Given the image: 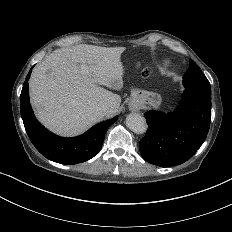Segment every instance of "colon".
I'll use <instances>...</instances> for the list:
<instances>
[{"instance_id": "5ec220e1", "label": "colon", "mask_w": 232, "mask_h": 232, "mask_svg": "<svg viewBox=\"0 0 232 232\" xmlns=\"http://www.w3.org/2000/svg\"><path fill=\"white\" fill-rule=\"evenodd\" d=\"M142 73H152V68H142ZM148 79H153V74H148Z\"/></svg>"}]
</instances>
